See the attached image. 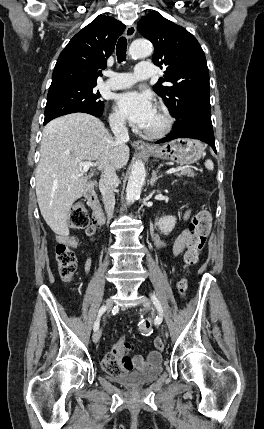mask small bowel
<instances>
[{"label": "small bowel", "mask_w": 264, "mask_h": 429, "mask_svg": "<svg viewBox=\"0 0 264 429\" xmlns=\"http://www.w3.org/2000/svg\"><path fill=\"white\" fill-rule=\"evenodd\" d=\"M189 216V211L185 213L184 217L187 218ZM99 228V224L94 220L92 224L85 230L86 235L90 239H94L95 234L97 233ZM190 239V231L187 229L182 230L175 237L166 240L159 235L154 236V244L157 248H165L167 246H171L174 255H179L183 252L187 242ZM57 240L59 242H63L72 247H79L83 244V240L76 236H70L67 232L60 234L57 236ZM92 260L89 256L86 259L84 271L88 273L91 269ZM133 349L132 345L123 339L118 340L112 347L108 356L117 359L126 372H129L133 369L143 370L149 366L156 365L161 362V350H153L151 351L147 358L144 359L140 355H135L133 357L128 356L126 353Z\"/></svg>", "instance_id": "small-bowel-1"}]
</instances>
